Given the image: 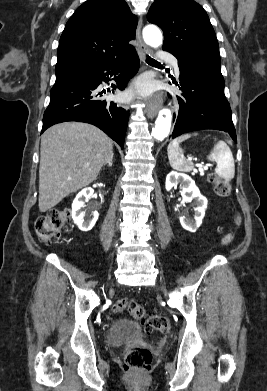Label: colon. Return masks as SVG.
Here are the masks:
<instances>
[{
  "label": "colon",
  "instance_id": "obj_1",
  "mask_svg": "<svg viewBox=\"0 0 267 391\" xmlns=\"http://www.w3.org/2000/svg\"><path fill=\"white\" fill-rule=\"evenodd\" d=\"M210 182L213 183L216 193L221 197H226L231 193L230 184L218 177L216 174L209 176ZM237 217L236 222L239 223ZM70 226V211L68 209L55 208L47 212L46 215L40 216L35 222V230L40 241L51 243L57 240L62 231ZM231 241V236H226L223 240L225 244ZM114 312H129L133 318L138 320L144 327L146 333L153 332L168 333L170 323L168 318L155 313H147L145 309L131 299H119L113 307ZM152 362L151 350L144 345L130 348L124 358V369L128 373L142 374L149 370Z\"/></svg>",
  "mask_w": 267,
  "mask_h": 391
}]
</instances>
